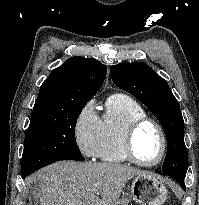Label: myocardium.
<instances>
[{
	"label": "myocardium",
	"instance_id": "1",
	"mask_svg": "<svg viewBox=\"0 0 199 205\" xmlns=\"http://www.w3.org/2000/svg\"><path fill=\"white\" fill-rule=\"evenodd\" d=\"M150 124L152 126H154L161 138V143H162V147H161V153L159 155V157L157 158V160L153 161V162H144L142 160H140L136 153H135V149H134V140H135V136L136 133L138 132V130L143 127L144 125ZM168 150V140H167V136L166 133L162 127V125L155 119L148 117V116H143L141 118H138L134 121H132L128 127L125 130L124 133V137H123V151L127 157V159L131 162H133L134 164H137L139 166H143V167H153L156 166L158 164H160L167 153Z\"/></svg>",
	"mask_w": 199,
	"mask_h": 205
}]
</instances>
